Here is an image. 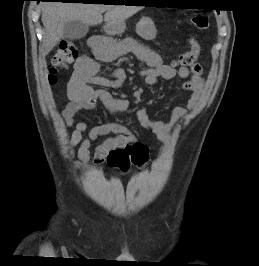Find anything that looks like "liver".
<instances>
[{"label": "liver", "mask_w": 259, "mask_h": 266, "mask_svg": "<svg viewBox=\"0 0 259 266\" xmlns=\"http://www.w3.org/2000/svg\"><path fill=\"white\" fill-rule=\"evenodd\" d=\"M142 9L141 6L103 5L83 3L47 2L42 5V23L45 28L43 54L47 55L60 41L64 26L72 20H79L85 24L98 25L103 22L105 30L108 27L124 22Z\"/></svg>", "instance_id": "1"}]
</instances>
